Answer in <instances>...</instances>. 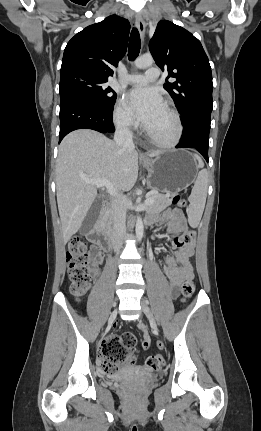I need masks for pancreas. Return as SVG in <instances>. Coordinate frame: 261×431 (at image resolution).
I'll return each instance as SVG.
<instances>
[{"mask_svg": "<svg viewBox=\"0 0 261 431\" xmlns=\"http://www.w3.org/2000/svg\"><path fill=\"white\" fill-rule=\"evenodd\" d=\"M174 195L175 194L173 193L150 195L149 197L153 198L154 201L149 205L147 211L150 213L163 211L172 204V198ZM111 220V216H109L108 222L111 223Z\"/></svg>", "mask_w": 261, "mask_h": 431, "instance_id": "cf45deb5", "label": "pancreas"}]
</instances>
